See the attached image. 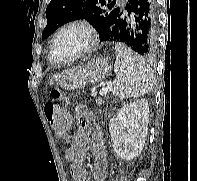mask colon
<instances>
[{
  "label": "colon",
  "mask_w": 197,
  "mask_h": 181,
  "mask_svg": "<svg viewBox=\"0 0 197 181\" xmlns=\"http://www.w3.org/2000/svg\"><path fill=\"white\" fill-rule=\"evenodd\" d=\"M53 101L44 105V114L54 131L64 133L71 121L70 115L60 108L59 103L62 100V92L59 88H53L50 91Z\"/></svg>",
  "instance_id": "5ec220e1"
}]
</instances>
